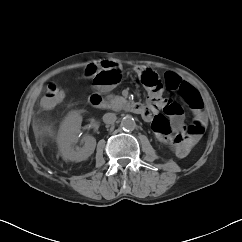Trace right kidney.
<instances>
[{
	"label": "right kidney",
	"mask_w": 242,
	"mask_h": 242,
	"mask_svg": "<svg viewBox=\"0 0 242 242\" xmlns=\"http://www.w3.org/2000/svg\"><path fill=\"white\" fill-rule=\"evenodd\" d=\"M81 122L80 112L72 111L65 117L60 126L57 142L64 160L80 162L86 160L95 150L96 139L90 135L82 137V147L75 146L79 141Z\"/></svg>",
	"instance_id": "ca27d5eb"
}]
</instances>
